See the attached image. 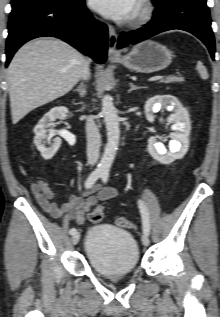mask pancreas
Segmentation results:
<instances>
[{
    "label": "pancreas",
    "instance_id": "pancreas-1",
    "mask_svg": "<svg viewBox=\"0 0 220 317\" xmlns=\"http://www.w3.org/2000/svg\"><path fill=\"white\" fill-rule=\"evenodd\" d=\"M162 81L165 83H173V82L182 83V82H184V79L182 77L169 76L165 80H162Z\"/></svg>",
    "mask_w": 220,
    "mask_h": 317
}]
</instances>
